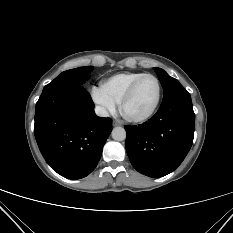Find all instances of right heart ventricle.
<instances>
[{
  "instance_id": "obj_1",
  "label": "right heart ventricle",
  "mask_w": 233,
  "mask_h": 233,
  "mask_svg": "<svg viewBox=\"0 0 233 233\" xmlns=\"http://www.w3.org/2000/svg\"><path fill=\"white\" fill-rule=\"evenodd\" d=\"M143 74L141 72L119 73L110 77L105 82V85L111 94L120 102L130 85Z\"/></svg>"
}]
</instances>
